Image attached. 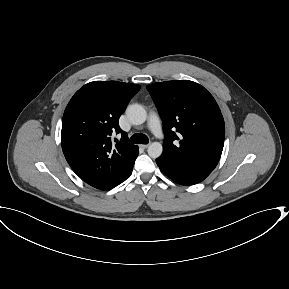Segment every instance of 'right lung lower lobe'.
<instances>
[{"label":"right lung lower lobe","instance_id":"right-lung-lower-lobe-1","mask_svg":"<svg viewBox=\"0 0 289 289\" xmlns=\"http://www.w3.org/2000/svg\"><path fill=\"white\" fill-rule=\"evenodd\" d=\"M138 154H139V151L137 150L136 153H135V156H134V158H133V160H132V163H131V166H130L129 170L127 171V173L125 174V176L123 177V179L120 181V183L123 182L125 179H127V178L131 175L132 169H133V166H134V162H135V159H136V157L138 156ZM120 183H119V184H120Z\"/></svg>","mask_w":289,"mask_h":289}]
</instances>
